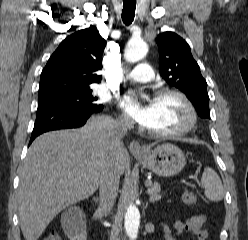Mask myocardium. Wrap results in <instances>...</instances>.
<instances>
[{
    "instance_id": "obj_1",
    "label": "myocardium",
    "mask_w": 248,
    "mask_h": 240,
    "mask_svg": "<svg viewBox=\"0 0 248 240\" xmlns=\"http://www.w3.org/2000/svg\"><path fill=\"white\" fill-rule=\"evenodd\" d=\"M168 95L176 96L184 103L186 110L188 112V120L185 123V125L174 131L160 132V131L149 130L150 134L159 138H175L185 135L196 126L198 121V115L195 106L193 105L190 98L181 90L176 88H162L156 92L155 97L159 98Z\"/></svg>"
}]
</instances>
